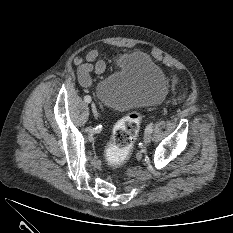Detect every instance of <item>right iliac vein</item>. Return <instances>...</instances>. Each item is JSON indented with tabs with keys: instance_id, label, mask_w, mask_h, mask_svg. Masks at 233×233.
Here are the masks:
<instances>
[{
	"instance_id": "1",
	"label": "right iliac vein",
	"mask_w": 233,
	"mask_h": 233,
	"mask_svg": "<svg viewBox=\"0 0 233 233\" xmlns=\"http://www.w3.org/2000/svg\"><path fill=\"white\" fill-rule=\"evenodd\" d=\"M91 108H92L93 115L95 116V118H97L99 116V113L94 103L91 104Z\"/></svg>"
}]
</instances>
